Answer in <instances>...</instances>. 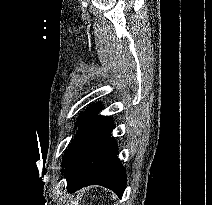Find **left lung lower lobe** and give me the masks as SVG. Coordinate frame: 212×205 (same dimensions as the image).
Masks as SVG:
<instances>
[{"mask_svg":"<svg viewBox=\"0 0 212 205\" xmlns=\"http://www.w3.org/2000/svg\"><path fill=\"white\" fill-rule=\"evenodd\" d=\"M100 107L97 103L87 112L69 146L62 166L65 167L67 189L71 193L97 184L113 190L121 198L126 187V172L111 137L113 121L110 117L97 115Z\"/></svg>","mask_w":212,"mask_h":205,"instance_id":"0a47b994","label":"left lung lower lobe"}]
</instances>
